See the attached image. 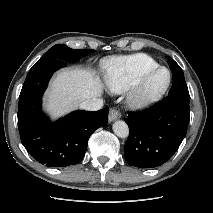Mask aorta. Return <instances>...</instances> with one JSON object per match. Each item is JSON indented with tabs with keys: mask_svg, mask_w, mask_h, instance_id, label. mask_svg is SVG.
<instances>
[{
	"mask_svg": "<svg viewBox=\"0 0 213 213\" xmlns=\"http://www.w3.org/2000/svg\"><path fill=\"white\" fill-rule=\"evenodd\" d=\"M113 131L120 138H126L129 135L128 125L121 120L114 122Z\"/></svg>",
	"mask_w": 213,
	"mask_h": 213,
	"instance_id": "1",
	"label": "aorta"
}]
</instances>
